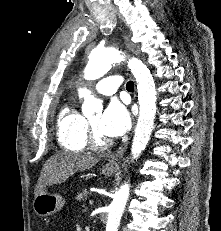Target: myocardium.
Here are the masks:
<instances>
[{"label":"myocardium","mask_w":221,"mask_h":231,"mask_svg":"<svg viewBox=\"0 0 221 231\" xmlns=\"http://www.w3.org/2000/svg\"><path fill=\"white\" fill-rule=\"evenodd\" d=\"M87 144L95 150H104L112 145L109 139H102L94 130L89 120H86Z\"/></svg>","instance_id":"f54148a6"}]
</instances>
